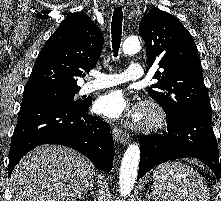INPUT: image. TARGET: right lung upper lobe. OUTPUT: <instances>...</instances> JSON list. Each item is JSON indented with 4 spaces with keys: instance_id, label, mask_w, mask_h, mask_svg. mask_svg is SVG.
Returning <instances> with one entry per match:
<instances>
[{
    "instance_id": "obj_1",
    "label": "right lung upper lobe",
    "mask_w": 221,
    "mask_h": 201,
    "mask_svg": "<svg viewBox=\"0 0 221 201\" xmlns=\"http://www.w3.org/2000/svg\"><path fill=\"white\" fill-rule=\"evenodd\" d=\"M103 48V34L82 12L69 15L41 49L25 88L80 89L84 71L96 66Z\"/></svg>"
}]
</instances>
